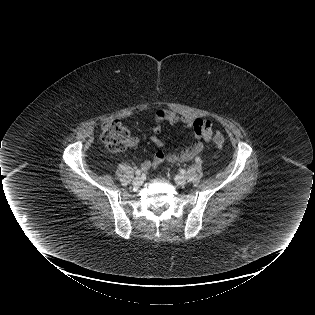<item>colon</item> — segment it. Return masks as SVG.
<instances>
[{
	"instance_id": "colon-1",
	"label": "colon",
	"mask_w": 315,
	"mask_h": 315,
	"mask_svg": "<svg viewBox=\"0 0 315 315\" xmlns=\"http://www.w3.org/2000/svg\"><path fill=\"white\" fill-rule=\"evenodd\" d=\"M101 137L111 152L120 153L127 148L129 132L120 121L113 120L102 126ZM212 142L217 146H222L225 143V137L221 133H215L212 135Z\"/></svg>"
}]
</instances>
